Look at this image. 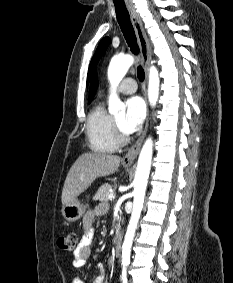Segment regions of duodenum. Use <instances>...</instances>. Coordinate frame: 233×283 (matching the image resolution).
I'll return each instance as SVG.
<instances>
[{"instance_id":"duodenum-1","label":"duodenum","mask_w":233,"mask_h":283,"mask_svg":"<svg viewBox=\"0 0 233 283\" xmlns=\"http://www.w3.org/2000/svg\"><path fill=\"white\" fill-rule=\"evenodd\" d=\"M121 247H122L121 236H120V234H118L115 238V254H116V256H120Z\"/></svg>"}]
</instances>
